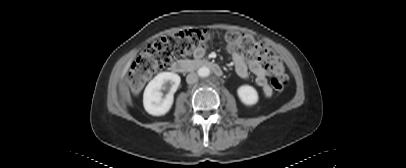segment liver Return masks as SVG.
Wrapping results in <instances>:
<instances>
[{
    "label": "liver",
    "instance_id": "liver-1",
    "mask_svg": "<svg viewBox=\"0 0 406 168\" xmlns=\"http://www.w3.org/2000/svg\"><path fill=\"white\" fill-rule=\"evenodd\" d=\"M130 65H131V60L124 67V69L122 71V74H121V78H123L125 76V74H126L127 70L129 69Z\"/></svg>",
    "mask_w": 406,
    "mask_h": 168
}]
</instances>
